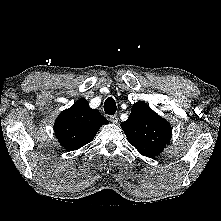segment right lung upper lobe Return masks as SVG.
<instances>
[{
	"mask_svg": "<svg viewBox=\"0 0 221 221\" xmlns=\"http://www.w3.org/2000/svg\"><path fill=\"white\" fill-rule=\"evenodd\" d=\"M108 120L96 109H91L85 99H79L72 107L61 112L55 121V135L61 145L73 151L91 142Z\"/></svg>",
	"mask_w": 221,
	"mask_h": 221,
	"instance_id": "obj_1",
	"label": "right lung upper lobe"
}]
</instances>
